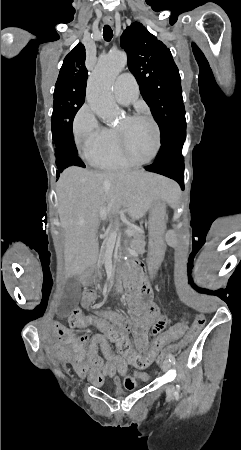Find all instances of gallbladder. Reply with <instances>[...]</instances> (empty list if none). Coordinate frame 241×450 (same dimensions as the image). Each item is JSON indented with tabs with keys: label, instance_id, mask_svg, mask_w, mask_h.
Returning a JSON list of instances; mask_svg holds the SVG:
<instances>
[{
	"label": "gallbladder",
	"instance_id": "1",
	"mask_svg": "<svg viewBox=\"0 0 241 450\" xmlns=\"http://www.w3.org/2000/svg\"><path fill=\"white\" fill-rule=\"evenodd\" d=\"M81 284L77 278H69L64 288V296L59 307V316L71 315L72 310H78L80 302Z\"/></svg>",
	"mask_w": 241,
	"mask_h": 450
}]
</instances>
